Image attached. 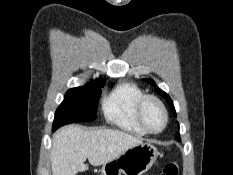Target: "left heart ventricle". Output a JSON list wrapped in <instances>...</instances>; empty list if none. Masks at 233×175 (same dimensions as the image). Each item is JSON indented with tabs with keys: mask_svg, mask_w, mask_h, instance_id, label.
<instances>
[{
	"mask_svg": "<svg viewBox=\"0 0 233 175\" xmlns=\"http://www.w3.org/2000/svg\"><path fill=\"white\" fill-rule=\"evenodd\" d=\"M144 118L147 125L152 130H159L163 126V113L159 106L153 101L146 103L144 107Z\"/></svg>",
	"mask_w": 233,
	"mask_h": 175,
	"instance_id": "left-heart-ventricle-1",
	"label": "left heart ventricle"
}]
</instances>
